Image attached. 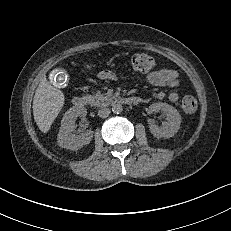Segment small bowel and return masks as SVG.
<instances>
[{
    "label": "small bowel",
    "mask_w": 231,
    "mask_h": 231,
    "mask_svg": "<svg viewBox=\"0 0 231 231\" xmlns=\"http://www.w3.org/2000/svg\"><path fill=\"white\" fill-rule=\"evenodd\" d=\"M97 77L101 80L118 79L117 74L110 70L100 71ZM147 80L152 86L157 88H175L180 83V76L179 73L175 70L163 68L149 73L147 75ZM153 96L159 100L168 97L171 102H177L180 99V94L176 90L171 91L168 95L164 91H157Z\"/></svg>",
    "instance_id": "small-bowel-1"
}]
</instances>
